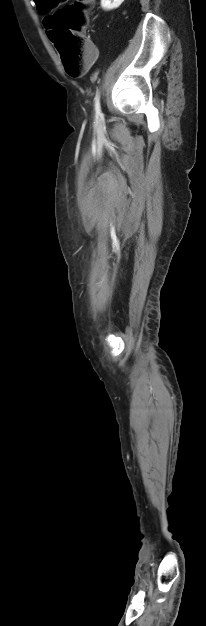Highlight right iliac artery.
<instances>
[{"mask_svg":"<svg viewBox=\"0 0 206 626\" xmlns=\"http://www.w3.org/2000/svg\"><path fill=\"white\" fill-rule=\"evenodd\" d=\"M95 111H96V116L97 117L101 115L100 94H99V92H97V94L95 96Z\"/></svg>","mask_w":206,"mask_h":626,"instance_id":"1","label":"right iliac artery"}]
</instances>
